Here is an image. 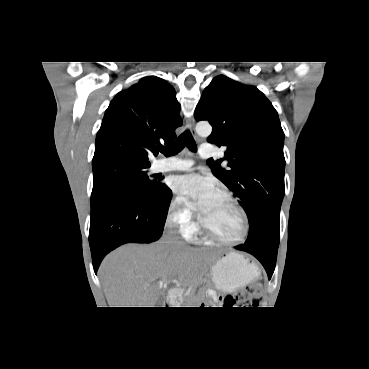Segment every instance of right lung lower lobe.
Returning a JSON list of instances; mask_svg holds the SVG:
<instances>
[{
	"label": "right lung lower lobe",
	"mask_w": 369,
	"mask_h": 369,
	"mask_svg": "<svg viewBox=\"0 0 369 369\" xmlns=\"http://www.w3.org/2000/svg\"><path fill=\"white\" fill-rule=\"evenodd\" d=\"M172 191L143 197L129 189L108 192L91 204L89 244L93 267H98L107 253L125 243H150L164 230Z\"/></svg>",
	"instance_id": "right-lung-lower-lobe-1"
}]
</instances>
